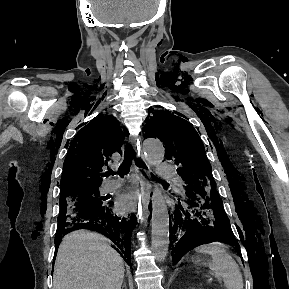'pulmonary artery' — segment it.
<instances>
[{"label":"pulmonary artery","instance_id":"pulmonary-artery-1","mask_svg":"<svg viewBox=\"0 0 289 289\" xmlns=\"http://www.w3.org/2000/svg\"><path fill=\"white\" fill-rule=\"evenodd\" d=\"M157 171L160 177L162 178H174L175 172L173 167L167 162H161L157 166ZM122 185V181L119 180H110L103 185L104 192H110Z\"/></svg>","mask_w":289,"mask_h":289}]
</instances>
